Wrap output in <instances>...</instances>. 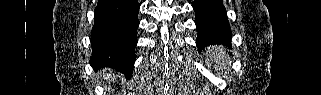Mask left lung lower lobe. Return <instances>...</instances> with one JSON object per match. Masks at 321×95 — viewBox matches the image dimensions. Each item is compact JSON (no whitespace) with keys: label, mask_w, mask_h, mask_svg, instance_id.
I'll list each match as a JSON object with an SVG mask.
<instances>
[{"label":"left lung lower lobe","mask_w":321,"mask_h":95,"mask_svg":"<svg viewBox=\"0 0 321 95\" xmlns=\"http://www.w3.org/2000/svg\"><path fill=\"white\" fill-rule=\"evenodd\" d=\"M195 24L198 50L209 45H230L231 31L222 0H195Z\"/></svg>","instance_id":"1"}]
</instances>
